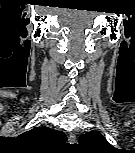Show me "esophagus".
Instances as JSON below:
<instances>
[{"label": "esophagus", "mask_w": 135, "mask_h": 153, "mask_svg": "<svg viewBox=\"0 0 135 153\" xmlns=\"http://www.w3.org/2000/svg\"><path fill=\"white\" fill-rule=\"evenodd\" d=\"M69 143L73 144L76 142V134L74 132H71L68 136Z\"/></svg>", "instance_id": "obj_1"}]
</instances>
